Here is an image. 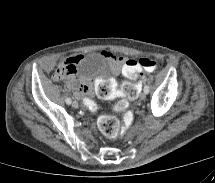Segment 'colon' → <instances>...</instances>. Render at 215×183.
<instances>
[{
	"instance_id": "obj_1",
	"label": "colon",
	"mask_w": 215,
	"mask_h": 183,
	"mask_svg": "<svg viewBox=\"0 0 215 183\" xmlns=\"http://www.w3.org/2000/svg\"><path fill=\"white\" fill-rule=\"evenodd\" d=\"M157 67L158 63L149 58L129 60L123 67V73L126 77V81L122 86L123 98L117 100L114 103L112 110L114 113L121 115L124 127L130 126L133 121V113L128 107V101L134 100L138 95L139 85L137 84V80L139 69H143L146 71H154ZM70 73L71 71L69 70V68L67 66L62 65L58 67L56 76L58 78H61L64 76H68ZM83 103L87 108H89L92 111H95L97 109L96 103L91 99V97L88 94H85L83 96ZM98 125L101 132L105 136L110 138L116 137L119 134L121 128L120 121L114 115H102L99 118Z\"/></svg>"
}]
</instances>
